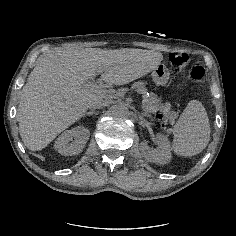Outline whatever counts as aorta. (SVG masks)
<instances>
[{"instance_id": "aorta-1", "label": "aorta", "mask_w": 236, "mask_h": 236, "mask_svg": "<svg viewBox=\"0 0 236 236\" xmlns=\"http://www.w3.org/2000/svg\"><path fill=\"white\" fill-rule=\"evenodd\" d=\"M112 115L116 118L124 119L129 115L128 107L123 103L116 104L112 107Z\"/></svg>"}]
</instances>
